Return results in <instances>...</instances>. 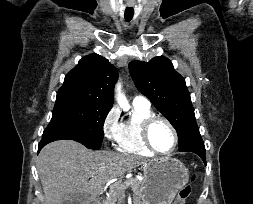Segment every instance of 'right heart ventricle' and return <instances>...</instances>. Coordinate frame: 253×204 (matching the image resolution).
<instances>
[{
	"mask_svg": "<svg viewBox=\"0 0 253 204\" xmlns=\"http://www.w3.org/2000/svg\"><path fill=\"white\" fill-rule=\"evenodd\" d=\"M134 106L132 117L121 123L120 132L117 138V149L121 152L151 157L154 155L143 143L141 127L144 120L154 115L150 107Z\"/></svg>",
	"mask_w": 253,
	"mask_h": 204,
	"instance_id": "1",
	"label": "right heart ventricle"
}]
</instances>
